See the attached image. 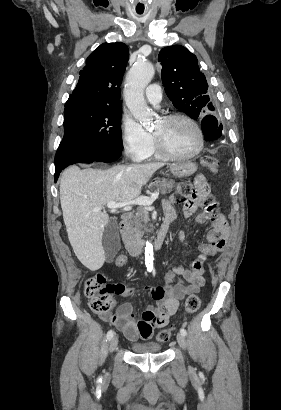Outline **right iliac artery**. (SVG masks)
I'll return each mask as SVG.
<instances>
[{
	"instance_id": "82829eb1",
	"label": "right iliac artery",
	"mask_w": 281,
	"mask_h": 410,
	"mask_svg": "<svg viewBox=\"0 0 281 410\" xmlns=\"http://www.w3.org/2000/svg\"><path fill=\"white\" fill-rule=\"evenodd\" d=\"M113 335H114V331H113V330H109V331L107 332V340H111V338L113 337Z\"/></svg>"
}]
</instances>
